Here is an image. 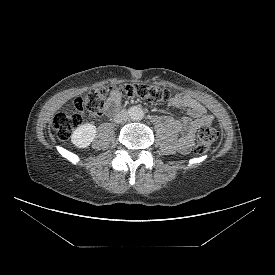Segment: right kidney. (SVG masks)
Masks as SVG:
<instances>
[{"label":"right kidney","instance_id":"1","mask_svg":"<svg viewBox=\"0 0 275 275\" xmlns=\"http://www.w3.org/2000/svg\"><path fill=\"white\" fill-rule=\"evenodd\" d=\"M96 127L93 124L79 126L71 136V142L78 148H87L96 136Z\"/></svg>","mask_w":275,"mask_h":275}]
</instances>
